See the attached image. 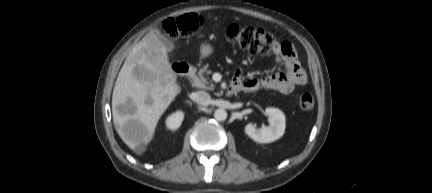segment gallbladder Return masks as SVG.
Here are the masks:
<instances>
[{
  "mask_svg": "<svg viewBox=\"0 0 432 193\" xmlns=\"http://www.w3.org/2000/svg\"><path fill=\"white\" fill-rule=\"evenodd\" d=\"M156 35L168 52H172L175 49V44L170 38L166 37L160 31H156ZM119 109L120 107H118V110Z\"/></svg>",
  "mask_w": 432,
  "mask_h": 193,
  "instance_id": "gallbladder-1",
  "label": "gallbladder"
}]
</instances>
